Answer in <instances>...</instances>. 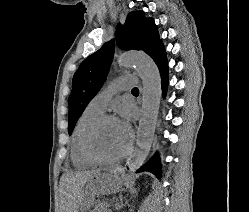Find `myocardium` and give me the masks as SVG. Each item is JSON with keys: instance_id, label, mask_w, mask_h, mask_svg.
Segmentation results:
<instances>
[{"instance_id": "1", "label": "myocardium", "mask_w": 249, "mask_h": 212, "mask_svg": "<svg viewBox=\"0 0 249 212\" xmlns=\"http://www.w3.org/2000/svg\"><path fill=\"white\" fill-rule=\"evenodd\" d=\"M107 121H117V118L112 115H101L98 118H96L85 132L82 143L83 153L86 156V158L89 161H91L93 164L101 166L114 165L122 161L125 157H127L132 148V144L130 143L124 153L112 159H104L96 153L94 149V138L96 132L99 129V127Z\"/></svg>"}]
</instances>
